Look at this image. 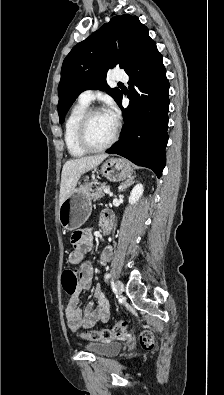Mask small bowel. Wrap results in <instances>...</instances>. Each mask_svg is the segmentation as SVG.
<instances>
[{
    "label": "small bowel",
    "instance_id": "1",
    "mask_svg": "<svg viewBox=\"0 0 224 395\" xmlns=\"http://www.w3.org/2000/svg\"><path fill=\"white\" fill-rule=\"evenodd\" d=\"M102 214L100 221L102 222ZM93 244L92 233L88 229L78 230L72 235V245L74 247L69 255L72 264L80 266V280L74 294L71 295L65 307V319L68 327L77 331L81 328H89L96 322H105L110 316V304L100 285L94 288V298L97 306L88 303L82 311L79 308V295L82 291L88 290L92 283L93 268L89 261L85 260V254L91 250ZM112 255V248H106L102 253V263L107 262Z\"/></svg>",
    "mask_w": 224,
    "mask_h": 395
}]
</instances>
